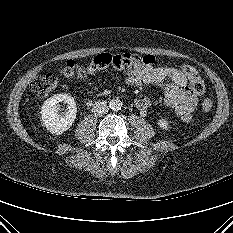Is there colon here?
Segmentation results:
<instances>
[{
    "label": "colon",
    "mask_w": 233,
    "mask_h": 233,
    "mask_svg": "<svg viewBox=\"0 0 233 233\" xmlns=\"http://www.w3.org/2000/svg\"><path fill=\"white\" fill-rule=\"evenodd\" d=\"M125 60L137 59L144 65L152 66L156 63V59L152 55L140 56L130 53L122 56ZM118 58L115 55L101 53L95 55L87 65H81L74 61H68L60 70V74L68 79H83L95 71L111 66ZM189 80L192 90L197 94H202L205 90V84L197 70L191 66L183 65L181 68ZM58 85V79L53 73H46L35 77L30 84V88L39 97H48ZM213 108L211 99L206 98L202 103V109L208 113Z\"/></svg>",
    "instance_id": "5ec220e1"
}]
</instances>
